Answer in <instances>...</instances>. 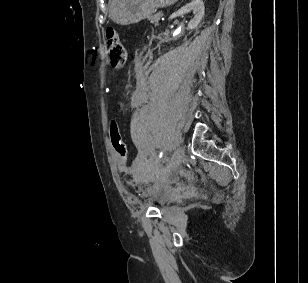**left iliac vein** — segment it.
Instances as JSON below:
<instances>
[{"label": "left iliac vein", "instance_id": "4c4485c4", "mask_svg": "<svg viewBox=\"0 0 308 283\" xmlns=\"http://www.w3.org/2000/svg\"><path fill=\"white\" fill-rule=\"evenodd\" d=\"M184 157H185V148L183 146H180L174 152L165 174H168L170 171L174 170Z\"/></svg>", "mask_w": 308, "mask_h": 283}]
</instances>
